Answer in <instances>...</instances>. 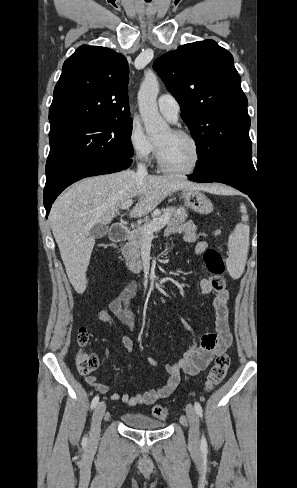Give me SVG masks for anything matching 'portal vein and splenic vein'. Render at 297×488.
I'll return each instance as SVG.
<instances>
[{
    "instance_id": "portal-vein-and-splenic-vein-1",
    "label": "portal vein and splenic vein",
    "mask_w": 297,
    "mask_h": 488,
    "mask_svg": "<svg viewBox=\"0 0 297 488\" xmlns=\"http://www.w3.org/2000/svg\"><path fill=\"white\" fill-rule=\"evenodd\" d=\"M133 204V200L129 199L126 200L124 203L121 204V209L126 210ZM168 221V215L165 214L160 218H155L150 224L144 226H136L138 229H141L143 236L145 239L151 240L153 238V233L161 228H163Z\"/></svg>"
}]
</instances>
